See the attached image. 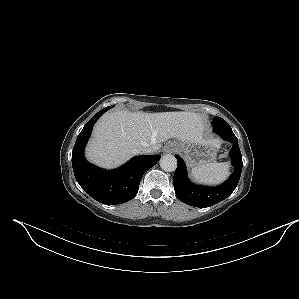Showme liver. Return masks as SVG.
Segmentation results:
<instances>
[{"label": "liver", "mask_w": 299, "mask_h": 299, "mask_svg": "<svg viewBox=\"0 0 299 299\" xmlns=\"http://www.w3.org/2000/svg\"><path fill=\"white\" fill-rule=\"evenodd\" d=\"M203 131V118L198 113L115 111L104 114L95 125L85 153L92 163L115 168L138 154L141 147L156 152L171 138L199 141Z\"/></svg>", "instance_id": "liver-1"}]
</instances>
